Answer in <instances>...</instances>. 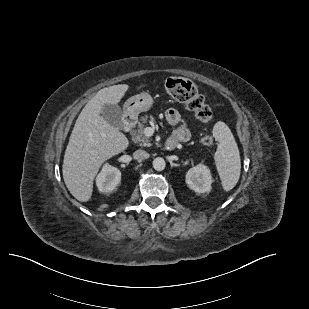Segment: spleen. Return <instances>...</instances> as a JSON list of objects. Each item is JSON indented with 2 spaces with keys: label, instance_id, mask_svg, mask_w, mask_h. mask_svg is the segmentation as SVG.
Returning <instances> with one entry per match:
<instances>
[{
  "label": "spleen",
  "instance_id": "3e777b00",
  "mask_svg": "<svg viewBox=\"0 0 309 309\" xmlns=\"http://www.w3.org/2000/svg\"><path fill=\"white\" fill-rule=\"evenodd\" d=\"M213 136L218 142L214 156L222 187L228 192L232 190L240 177L241 160L237 143L229 127L222 121L215 124Z\"/></svg>",
  "mask_w": 309,
  "mask_h": 309
}]
</instances>
